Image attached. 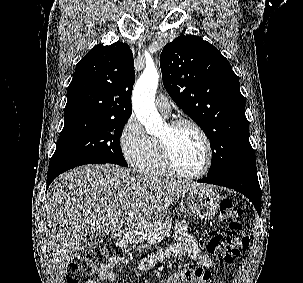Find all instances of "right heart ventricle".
I'll return each instance as SVG.
<instances>
[{"label":"right heart ventricle","mask_w":303,"mask_h":283,"mask_svg":"<svg viewBox=\"0 0 303 283\" xmlns=\"http://www.w3.org/2000/svg\"><path fill=\"white\" fill-rule=\"evenodd\" d=\"M137 168L142 174L152 177H161L169 174L163 166L156 138L151 137L148 152L139 162Z\"/></svg>","instance_id":"1"}]
</instances>
